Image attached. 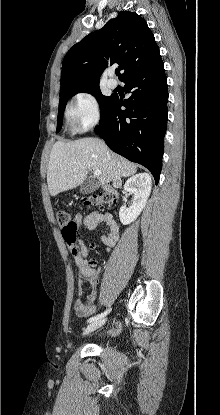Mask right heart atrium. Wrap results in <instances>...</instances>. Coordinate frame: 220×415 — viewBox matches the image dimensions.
Returning a JSON list of instances; mask_svg holds the SVG:
<instances>
[{"instance_id":"right-heart-atrium-1","label":"right heart atrium","mask_w":220,"mask_h":415,"mask_svg":"<svg viewBox=\"0 0 220 415\" xmlns=\"http://www.w3.org/2000/svg\"><path fill=\"white\" fill-rule=\"evenodd\" d=\"M67 118L72 131H87L95 127L101 118L97 97L91 92L78 93L68 107Z\"/></svg>"}]
</instances>
